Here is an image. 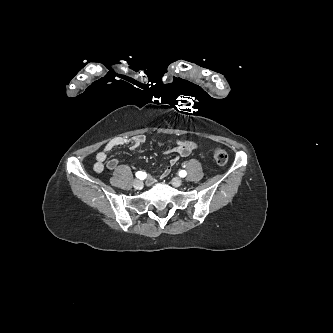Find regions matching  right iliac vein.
<instances>
[{
	"mask_svg": "<svg viewBox=\"0 0 333 333\" xmlns=\"http://www.w3.org/2000/svg\"><path fill=\"white\" fill-rule=\"evenodd\" d=\"M133 186L136 189H142L143 188V182L141 180H139V179H135L133 181Z\"/></svg>",
	"mask_w": 333,
	"mask_h": 333,
	"instance_id": "right-iliac-vein-1",
	"label": "right iliac vein"
}]
</instances>
